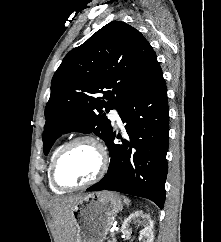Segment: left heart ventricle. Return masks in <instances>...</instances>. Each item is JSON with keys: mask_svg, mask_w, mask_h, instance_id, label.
<instances>
[{"mask_svg": "<svg viewBox=\"0 0 221 242\" xmlns=\"http://www.w3.org/2000/svg\"><path fill=\"white\" fill-rule=\"evenodd\" d=\"M99 166V153L90 142L72 145L60 160L56 176L64 185L83 183L94 176Z\"/></svg>", "mask_w": 221, "mask_h": 242, "instance_id": "b2bd125f", "label": "left heart ventricle"}]
</instances>
